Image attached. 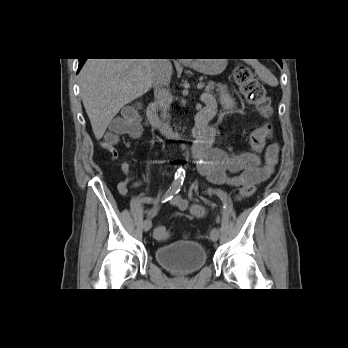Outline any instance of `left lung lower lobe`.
<instances>
[{"label":"left lung lower lobe","instance_id":"obj_1","mask_svg":"<svg viewBox=\"0 0 348 348\" xmlns=\"http://www.w3.org/2000/svg\"><path fill=\"white\" fill-rule=\"evenodd\" d=\"M276 60V59H275ZM279 64H280V66L282 67V61L281 60H276Z\"/></svg>","mask_w":348,"mask_h":348}]
</instances>
